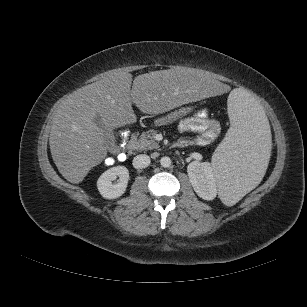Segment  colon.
<instances>
[{
    "instance_id": "5ec220e1",
    "label": "colon",
    "mask_w": 307,
    "mask_h": 307,
    "mask_svg": "<svg viewBox=\"0 0 307 307\" xmlns=\"http://www.w3.org/2000/svg\"><path fill=\"white\" fill-rule=\"evenodd\" d=\"M121 136V140L120 143L118 145L119 151L121 154L124 153V146L126 144V139H127V132L125 130H122L120 133ZM117 161L116 157H109L106 159V164L108 165H113L115 162Z\"/></svg>"
}]
</instances>
